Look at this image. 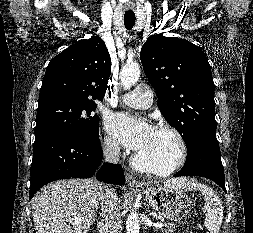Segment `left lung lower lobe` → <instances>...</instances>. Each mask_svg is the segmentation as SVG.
<instances>
[{"label":"left lung lower lobe","instance_id":"obj_1","mask_svg":"<svg viewBox=\"0 0 253 233\" xmlns=\"http://www.w3.org/2000/svg\"><path fill=\"white\" fill-rule=\"evenodd\" d=\"M189 175L211 179L226 192L224 169L217 139L200 136L187 148L186 162L174 177Z\"/></svg>","mask_w":253,"mask_h":233}]
</instances>
